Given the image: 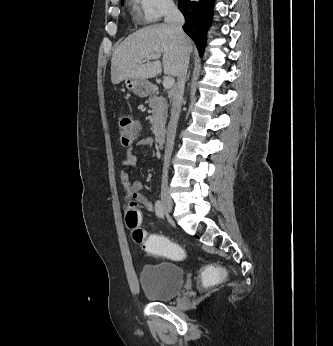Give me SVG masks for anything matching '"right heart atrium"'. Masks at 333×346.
<instances>
[{"instance_id":"obj_1","label":"right heart atrium","mask_w":333,"mask_h":346,"mask_svg":"<svg viewBox=\"0 0 333 346\" xmlns=\"http://www.w3.org/2000/svg\"><path fill=\"white\" fill-rule=\"evenodd\" d=\"M141 19L152 23L171 13L175 6L172 0H135Z\"/></svg>"}]
</instances>
